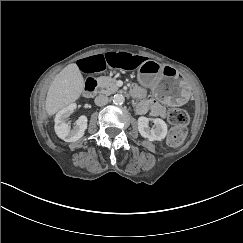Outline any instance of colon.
<instances>
[{"instance_id": "colon-1", "label": "colon", "mask_w": 243, "mask_h": 243, "mask_svg": "<svg viewBox=\"0 0 243 243\" xmlns=\"http://www.w3.org/2000/svg\"><path fill=\"white\" fill-rule=\"evenodd\" d=\"M168 119L173 125V128L168 134L167 142L170 146H178L186 137V126L189 121V116L187 112L182 109H170L168 112Z\"/></svg>"}]
</instances>
